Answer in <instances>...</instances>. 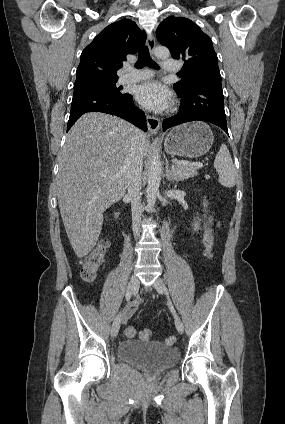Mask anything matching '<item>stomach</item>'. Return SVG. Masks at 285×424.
Masks as SVG:
<instances>
[{
  "mask_svg": "<svg viewBox=\"0 0 285 424\" xmlns=\"http://www.w3.org/2000/svg\"><path fill=\"white\" fill-rule=\"evenodd\" d=\"M214 136L203 122H191L173 128L166 136L164 147L167 153L186 158H197L212 147Z\"/></svg>",
  "mask_w": 285,
  "mask_h": 424,
  "instance_id": "obj_1",
  "label": "stomach"
}]
</instances>
